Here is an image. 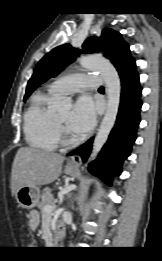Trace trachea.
<instances>
[{"mask_svg": "<svg viewBox=\"0 0 162 261\" xmlns=\"http://www.w3.org/2000/svg\"><path fill=\"white\" fill-rule=\"evenodd\" d=\"M99 89H100V90H103L104 88H103V87H100Z\"/></svg>", "mask_w": 162, "mask_h": 261, "instance_id": "1", "label": "trachea"}]
</instances>
